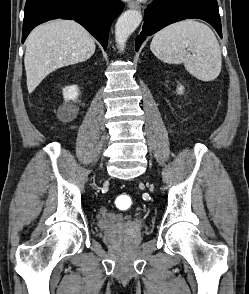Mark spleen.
Segmentation results:
<instances>
[{"label": "spleen", "mask_w": 249, "mask_h": 294, "mask_svg": "<svg viewBox=\"0 0 249 294\" xmlns=\"http://www.w3.org/2000/svg\"><path fill=\"white\" fill-rule=\"evenodd\" d=\"M150 49L165 63H183L201 81H212L220 74L222 58L218 40L207 25L193 19L173 23L157 32Z\"/></svg>", "instance_id": "obj_1"}]
</instances>
